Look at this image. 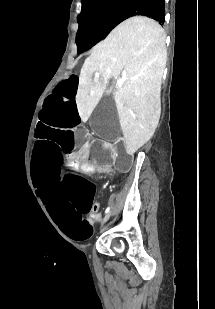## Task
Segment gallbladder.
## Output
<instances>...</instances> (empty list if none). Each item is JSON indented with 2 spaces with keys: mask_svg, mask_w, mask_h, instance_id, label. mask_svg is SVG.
<instances>
[{
  "mask_svg": "<svg viewBox=\"0 0 215 309\" xmlns=\"http://www.w3.org/2000/svg\"><path fill=\"white\" fill-rule=\"evenodd\" d=\"M90 118L91 130L96 132L97 136H105L106 140H112L113 136H119V117L113 96L101 98Z\"/></svg>",
  "mask_w": 215,
  "mask_h": 309,
  "instance_id": "1",
  "label": "gallbladder"
}]
</instances>
